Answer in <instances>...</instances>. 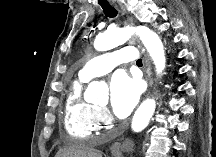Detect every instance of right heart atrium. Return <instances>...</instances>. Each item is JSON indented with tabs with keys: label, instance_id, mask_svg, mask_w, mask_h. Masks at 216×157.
Instances as JSON below:
<instances>
[{
	"label": "right heart atrium",
	"instance_id": "1",
	"mask_svg": "<svg viewBox=\"0 0 216 157\" xmlns=\"http://www.w3.org/2000/svg\"><path fill=\"white\" fill-rule=\"evenodd\" d=\"M94 122L98 129L109 126L111 124V116L109 112L107 111V109L102 108V107H96Z\"/></svg>",
	"mask_w": 216,
	"mask_h": 157
}]
</instances>
